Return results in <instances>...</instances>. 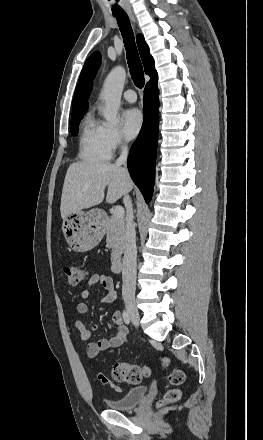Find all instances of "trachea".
Instances as JSON below:
<instances>
[{
	"instance_id": "1",
	"label": "trachea",
	"mask_w": 263,
	"mask_h": 440,
	"mask_svg": "<svg viewBox=\"0 0 263 440\" xmlns=\"http://www.w3.org/2000/svg\"><path fill=\"white\" fill-rule=\"evenodd\" d=\"M113 15L117 19L118 26L124 40V45L127 53V61L132 80L134 84L141 89L144 87V72L135 44L130 20L126 13L123 11H113Z\"/></svg>"
}]
</instances>
